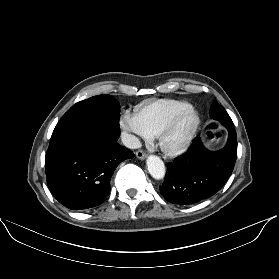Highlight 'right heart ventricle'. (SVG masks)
Instances as JSON below:
<instances>
[{"label":"right heart ventricle","mask_w":279,"mask_h":279,"mask_svg":"<svg viewBox=\"0 0 279 279\" xmlns=\"http://www.w3.org/2000/svg\"><path fill=\"white\" fill-rule=\"evenodd\" d=\"M190 106L187 102L174 99L148 100L136 108V114L149 137H157L176 113Z\"/></svg>","instance_id":"obj_1"}]
</instances>
